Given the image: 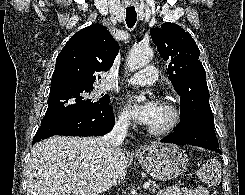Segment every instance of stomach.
Instances as JSON below:
<instances>
[{
    "mask_svg": "<svg viewBox=\"0 0 245 195\" xmlns=\"http://www.w3.org/2000/svg\"><path fill=\"white\" fill-rule=\"evenodd\" d=\"M136 157L146 172L161 181L182 175L188 167V156L173 144H151L143 147Z\"/></svg>",
    "mask_w": 245,
    "mask_h": 195,
    "instance_id": "obj_1",
    "label": "stomach"
}]
</instances>
